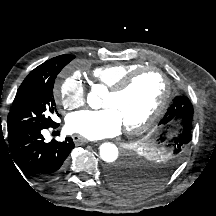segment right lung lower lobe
<instances>
[{
    "label": "right lung lower lobe",
    "instance_id": "right-lung-lower-lobe-1",
    "mask_svg": "<svg viewBox=\"0 0 216 216\" xmlns=\"http://www.w3.org/2000/svg\"><path fill=\"white\" fill-rule=\"evenodd\" d=\"M41 130L31 128L8 134V143L15 162L22 170L38 179H49L64 169L75 145L71 137L63 142H45Z\"/></svg>",
    "mask_w": 216,
    "mask_h": 216
}]
</instances>
